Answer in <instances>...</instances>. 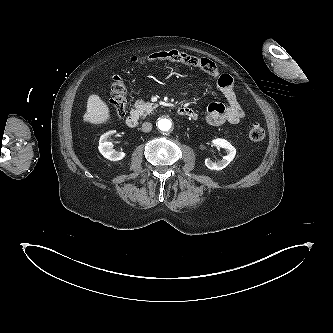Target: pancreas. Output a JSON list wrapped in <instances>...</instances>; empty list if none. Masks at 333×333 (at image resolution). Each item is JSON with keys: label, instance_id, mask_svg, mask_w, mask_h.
Instances as JSON below:
<instances>
[{"label": "pancreas", "instance_id": "cf45deb5", "mask_svg": "<svg viewBox=\"0 0 333 333\" xmlns=\"http://www.w3.org/2000/svg\"><path fill=\"white\" fill-rule=\"evenodd\" d=\"M134 106L140 116L146 117L148 114H150L153 111V109L157 107V104L144 102L142 100H137Z\"/></svg>", "mask_w": 333, "mask_h": 333}]
</instances>
